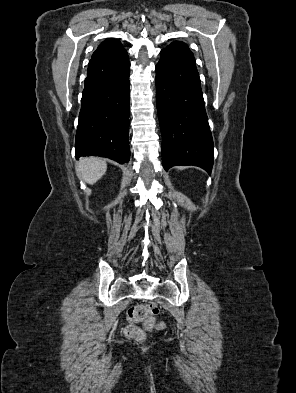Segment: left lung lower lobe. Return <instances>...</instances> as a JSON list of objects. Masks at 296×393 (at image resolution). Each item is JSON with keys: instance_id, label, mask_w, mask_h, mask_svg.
I'll use <instances>...</instances> for the list:
<instances>
[{"instance_id": "obj_1", "label": "left lung lower lobe", "mask_w": 296, "mask_h": 393, "mask_svg": "<svg viewBox=\"0 0 296 393\" xmlns=\"http://www.w3.org/2000/svg\"><path fill=\"white\" fill-rule=\"evenodd\" d=\"M155 82L164 169L195 165L211 173L214 145L194 56L161 51Z\"/></svg>"}]
</instances>
